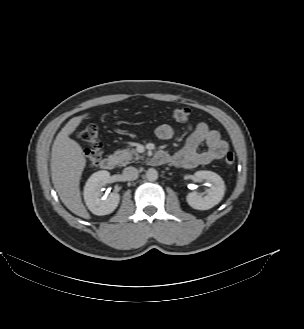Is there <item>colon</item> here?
I'll return each mask as SVG.
<instances>
[{
    "instance_id": "1",
    "label": "colon",
    "mask_w": 304,
    "mask_h": 329,
    "mask_svg": "<svg viewBox=\"0 0 304 329\" xmlns=\"http://www.w3.org/2000/svg\"><path fill=\"white\" fill-rule=\"evenodd\" d=\"M190 111L187 108L174 110L168 118L177 122H186L189 119ZM78 138L87 143L89 148L86 152L87 169L95 168L102 159L103 149L99 138V129L95 124H89L78 132ZM226 165H232L235 162V155L228 150L224 155Z\"/></svg>"
}]
</instances>
